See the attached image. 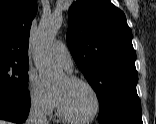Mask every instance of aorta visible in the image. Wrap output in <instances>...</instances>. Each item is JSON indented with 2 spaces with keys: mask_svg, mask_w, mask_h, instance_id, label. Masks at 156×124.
Instances as JSON below:
<instances>
[{
  "mask_svg": "<svg viewBox=\"0 0 156 124\" xmlns=\"http://www.w3.org/2000/svg\"><path fill=\"white\" fill-rule=\"evenodd\" d=\"M62 23L61 15L44 18L38 27L34 43L33 60L39 72L41 82L49 85L55 82L63 73L54 62L51 46L55 35Z\"/></svg>",
  "mask_w": 156,
  "mask_h": 124,
  "instance_id": "762f6f07",
  "label": "aorta"
}]
</instances>
